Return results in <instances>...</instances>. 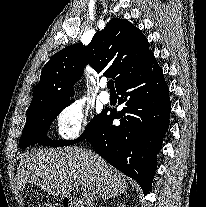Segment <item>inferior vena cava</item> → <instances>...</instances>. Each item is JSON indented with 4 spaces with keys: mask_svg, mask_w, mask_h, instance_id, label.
Segmentation results:
<instances>
[{
    "mask_svg": "<svg viewBox=\"0 0 206 207\" xmlns=\"http://www.w3.org/2000/svg\"><path fill=\"white\" fill-rule=\"evenodd\" d=\"M88 205L93 207V201H91Z\"/></svg>",
    "mask_w": 206,
    "mask_h": 207,
    "instance_id": "1",
    "label": "inferior vena cava"
}]
</instances>
